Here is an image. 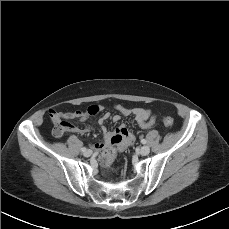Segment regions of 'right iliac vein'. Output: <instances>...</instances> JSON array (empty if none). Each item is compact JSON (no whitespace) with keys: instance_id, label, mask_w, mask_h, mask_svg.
Instances as JSON below:
<instances>
[{"instance_id":"63e3f726","label":"right iliac vein","mask_w":229,"mask_h":229,"mask_svg":"<svg viewBox=\"0 0 229 229\" xmlns=\"http://www.w3.org/2000/svg\"><path fill=\"white\" fill-rule=\"evenodd\" d=\"M92 155V151L91 150H86L85 152H84V156L85 157H90Z\"/></svg>"}]
</instances>
